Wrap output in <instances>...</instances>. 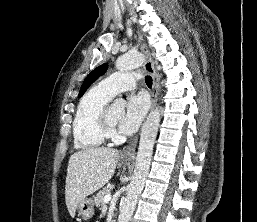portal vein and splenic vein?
<instances>
[{
  "label": "portal vein and splenic vein",
  "mask_w": 257,
  "mask_h": 222,
  "mask_svg": "<svg viewBox=\"0 0 257 222\" xmlns=\"http://www.w3.org/2000/svg\"><path fill=\"white\" fill-rule=\"evenodd\" d=\"M111 200V195L108 194L104 197V203L107 204Z\"/></svg>",
  "instance_id": "obj_1"
}]
</instances>
